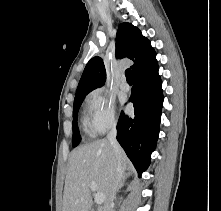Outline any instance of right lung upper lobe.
Wrapping results in <instances>:
<instances>
[{"instance_id": "right-lung-upper-lobe-1", "label": "right lung upper lobe", "mask_w": 221, "mask_h": 211, "mask_svg": "<svg viewBox=\"0 0 221 211\" xmlns=\"http://www.w3.org/2000/svg\"><path fill=\"white\" fill-rule=\"evenodd\" d=\"M116 57H127L134 62L131 66L133 76L157 64L156 53L150 41L137 27L127 22L121 23L117 31ZM105 80L106 71L102 59L92 58L83 71L75 98L86 96L92 90L101 87Z\"/></svg>"}]
</instances>
